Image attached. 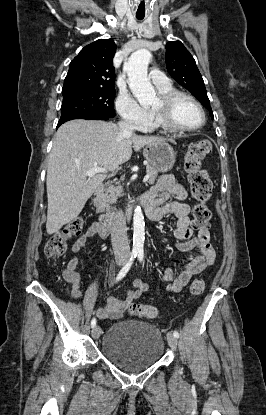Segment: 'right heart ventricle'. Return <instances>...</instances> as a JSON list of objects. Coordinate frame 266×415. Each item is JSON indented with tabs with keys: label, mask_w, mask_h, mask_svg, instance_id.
Wrapping results in <instances>:
<instances>
[{
	"label": "right heart ventricle",
	"mask_w": 266,
	"mask_h": 415,
	"mask_svg": "<svg viewBox=\"0 0 266 415\" xmlns=\"http://www.w3.org/2000/svg\"><path fill=\"white\" fill-rule=\"evenodd\" d=\"M157 88L161 93L174 90L171 84H168L166 86H157ZM151 115H152V117H151V121H150V124H149V128H151V129H158V128L165 129L159 124V122L157 121L153 111L151 112Z\"/></svg>",
	"instance_id": "e07e8e85"
}]
</instances>
